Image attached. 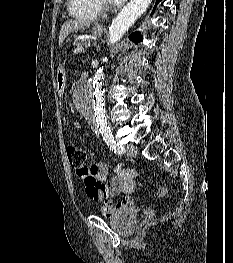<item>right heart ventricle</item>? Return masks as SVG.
Instances as JSON below:
<instances>
[{"mask_svg": "<svg viewBox=\"0 0 233 263\" xmlns=\"http://www.w3.org/2000/svg\"><path fill=\"white\" fill-rule=\"evenodd\" d=\"M70 14L82 20H94L100 13L96 0H68Z\"/></svg>", "mask_w": 233, "mask_h": 263, "instance_id": "right-heart-ventricle-1", "label": "right heart ventricle"}]
</instances>
